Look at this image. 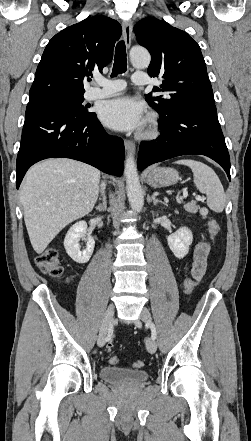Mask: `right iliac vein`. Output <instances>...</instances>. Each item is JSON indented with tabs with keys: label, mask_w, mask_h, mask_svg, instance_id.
<instances>
[{
	"label": "right iliac vein",
	"mask_w": 251,
	"mask_h": 441,
	"mask_svg": "<svg viewBox=\"0 0 251 441\" xmlns=\"http://www.w3.org/2000/svg\"><path fill=\"white\" fill-rule=\"evenodd\" d=\"M114 320V306L111 304L108 306L107 310L105 311L102 324L99 330V335L97 339V344L99 347H103L105 345V339L108 332V329L112 325Z\"/></svg>",
	"instance_id": "obj_1"
}]
</instances>
